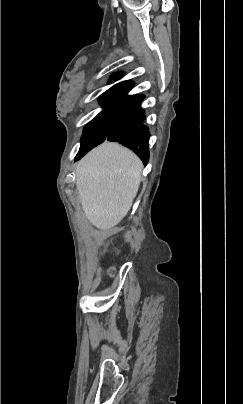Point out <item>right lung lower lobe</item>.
<instances>
[{
	"label": "right lung lower lobe",
	"mask_w": 243,
	"mask_h": 404,
	"mask_svg": "<svg viewBox=\"0 0 243 404\" xmlns=\"http://www.w3.org/2000/svg\"><path fill=\"white\" fill-rule=\"evenodd\" d=\"M142 99L127 106L115 121L106 137V141H115L131 149L147 165L149 159V131L143 124L145 113L140 108Z\"/></svg>",
	"instance_id": "right-lung-lower-lobe-1"
}]
</instances>
